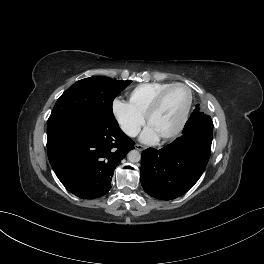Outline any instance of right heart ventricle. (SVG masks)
<instances>
[{
  "instance_id": "obj_1",
  "label": "right heart ventricle",
  "mask_w": 264,
  "mask_h": 264,
  "mask_svg": "<svg viewBox=\"0 0 264 264\" xmlns=\"http://www.w3.org/2000/svg\"><path fill=\"white\" fill-rule=\"evenodd\" d=\"M170 83L140 84L128 92V103L140 115L144 116L155 96Z\"/></svg>"
}]
</instances>
